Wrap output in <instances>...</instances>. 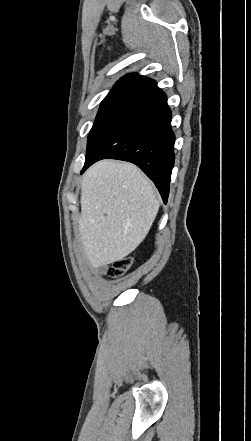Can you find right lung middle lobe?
I'll list each match as a JSON object with an SVG mask.
<instances>
[{"label": "right lung middle lobe", "instance_id": "obj_1", "mask_svg": "<svg viewBox=\"0 0 251 441\" xmlns=\"http://www.w3.org/2000/svg\"><path fill=\"white\" fill-rule=\"evenodd\" d=\"M132 103L131 101L122 100H109L101 103L97 117L88 136L86 158L103 133Z\"/></svg>", "mask_w": 251, "mask_h": 441}]
</instances>
